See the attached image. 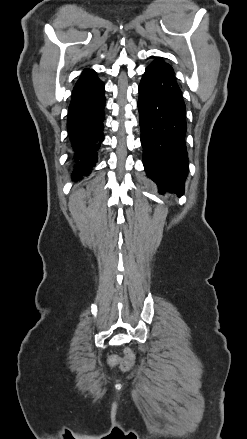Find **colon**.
Returning a JSON list of instances; mask_svg holds the SVG:
<instances>
[{"label": "colon", "mask_w": 247, "mask_h": 439, "mask_svg": "<svg viewBox=\"0 0 247 439\" xmlns=\"http://www.w3.org/2000/svg\"><path fill=\"white\" fill-rule=\"evenodd\" d=\"M133 362V354L130 350H127L122 357L112 356L110 363L112 365H118L121 369L127 370L131 367Z\"/></svg>", "instance_id": "colon-1"}]
</instances>
